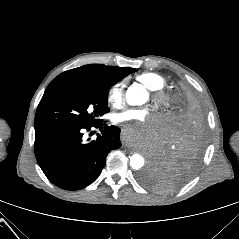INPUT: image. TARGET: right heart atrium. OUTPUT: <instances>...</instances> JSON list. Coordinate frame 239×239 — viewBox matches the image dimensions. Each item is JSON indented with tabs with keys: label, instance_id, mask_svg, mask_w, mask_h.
Returning a JSON list of instances; mask_svg holds the SVG:
<instances>
[{
	"label": "right heart atrium",
	"instance_id": "right-heart-atrium-1",
	"mask_svg": "<svg viewBox=\"0 0 239 239\" xmlns=\"http://www.w3.org/2000/svg\"><path fill=\"white\" fill-rule=\"evenodd\" d=\"M106 99L113 108L120 107L124 101V83L117 82L113 84L107 92Z\"/></svg>",
	"mask_w": 239,
	"mask_h": 239
}]
</instances>
